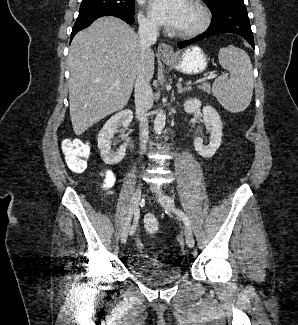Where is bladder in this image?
<instances>
[{
	"label": "bladder",
	"mask_w": 298,
	"mask_h": 325,
	"mask_svg": "<svg viewBox=\"0 0 298 325\" xmlns=\"http://www.w3.org/2000/svg\"><path fill=\"white\" fill-rule=\"evenodd\" d=\"M132 271L137 279L153 287L175 283L182 275L177 267L161 264L143 256L135 258Z\"/></svg>",
	"instance_id": "obj_1"
}]
</instances>
